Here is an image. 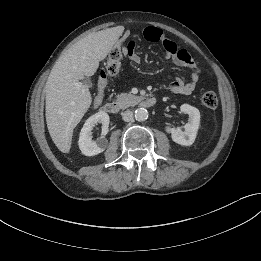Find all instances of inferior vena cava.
Listing matches in <instances>:
<instances>
[{"mask_svg": "<svg viewBox=\"0 0 261 261\" xmlns=\"http://www.w3.org/2000/svg\"><path fill=\"white\" fill-rule=\"evenodd\" d=\"M121 115H122V119H123L124 121H126V122H130V121L133 120V112L130 111V110H127V111H125V112H122Z\"/></svg>", "mask_w": 261, "mask_h": 261, "instance_id": "1", "label": "inferior vena cava"}]
</instances>
